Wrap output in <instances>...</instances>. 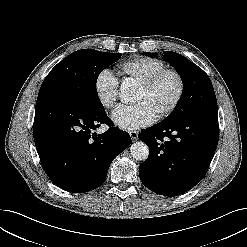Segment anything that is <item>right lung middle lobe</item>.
I'll return each mask as SVG.
<instances>
[{"label":"right lung middle lobe","mask_w":247,"mask_h":247,"mask_svg":"<svg viewBox=\"0 0 247 247\" xmlns=\"http://www.w3.org/2000/svg\"><path fill=\"white\" fill-rule=\"evenodd\" d=\"M120 56V53L93 49L75 51L49 72L41 85L38 97L60 93L77 100L89 109H102L95 91V82L99 73L116 62Z\"/></svg>","instance_id":"right-lung-middle-lobe-1"}]
</instances>
